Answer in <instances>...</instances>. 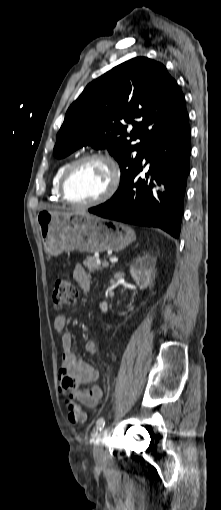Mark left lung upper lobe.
<instances>
[{"mask_svg": "<svg viewBox=\"0 0 221 510\" xmlns=\"http://www.w3.org/2000/svg\"><path fill=\"white\" fill-rule=\"evenodd\" d=\"M188 113L177 82L163 64L146 57L128 60L89 83L67 110L54 155L63 158L91 145L118 161L120 186H127L149 145L185 125ZM122 122L131 123L127 131ZM140 139V143H135Z\"/></svg>", "mask_w": 221, "mask_h": 510, "instance_id": "1", "label": "left lung upper lobe"}]
</instances>
